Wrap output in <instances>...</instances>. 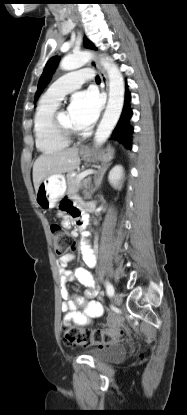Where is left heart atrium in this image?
Returning <instances> with one entry per match:
<instances>
[{
	"mask_svg": "<svg viewBox=\"0 0 187 415\" xmlns=\"http://www.w3.org/2000/svg\"><path fill=\"white\" fill-rule=\"evenodd\" d=\"M100 111V100L92 90L75 93L68 106V113L77 129L90 127L97 119Z\"/></svg>",
	"mask_w": 187,
	"mask_h": 415,
	"instance_id": "1",
	"label": "left heart atrium"
}]
</instances>
